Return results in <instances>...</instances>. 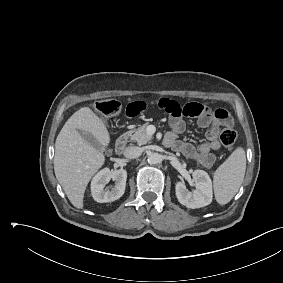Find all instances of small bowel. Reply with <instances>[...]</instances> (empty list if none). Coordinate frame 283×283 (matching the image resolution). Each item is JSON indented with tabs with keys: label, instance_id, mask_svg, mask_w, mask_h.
Instances as JSON below:
<instances>
[{
	"label": "small bowel",
	"instance_id": "c3829d8e",
	"mask_svg": "<svg viewBox=\"0 0 283 283\" xmlns=\"http://www.w3.org/2000/svg\"><path fill=\"white\" fill-rule=\"evenodd\" d=\"M149 104L162 108L170 117L171 132L165 137L166 145L183 153L185 156L196 160L201 166L210 168L214 165L216 157L212 151L220 148L218 129L221 126L232 127L233 119L224 109H212L205 104L192 102L181 106L175 100L159 98L151 102L135 100L126 107L128 117H137L143 113ZM197 118L198 125L206 128V141L195 147L193 144L179 139L185 130L184 118Z\"/></svg>",
	"mask_w": 283,
	"mask_h": 283
}]
</instances>
